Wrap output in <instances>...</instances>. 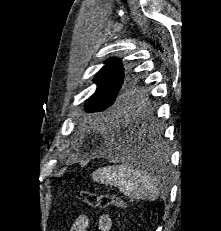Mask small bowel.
<instances>
[{"label":"small bowel","instance_id":"small-bowel-1","mask_svg":"<svg viewBox=\"0 0 221 231\" xmlns=\"http://www.w3.org/2000/svg\"><path fill=\"white\" fill-rule=\"evenodd\" d=\"M90 224L89 216L80 215L72 224L70 231H87ZM98 231H110L112 228V219L108 214H101L97 220Z\"/></svg>","mask_w":221,"mask_h":231}]
</instances>
